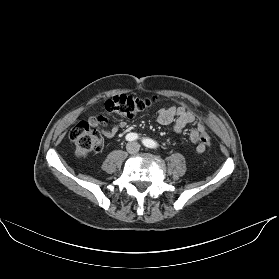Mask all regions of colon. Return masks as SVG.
Masks as SVG:
<instances>
[{
    "label": "colon",
    "instance_id": "obj_1",
    "mask_svg": "<svg viewBox=\"0 0 279 279\" xmlns=\"http://www.w3.org/2000/svg\"><path fill=\"white\" fill-rule=\"evenodd\" d=\"M156 102V97H138L127 94L115 95L105 101V108L111 113L122 117H134L145 111ZM101 125L108 123L107 118H98ZM70 140L74 145V154L77 158L83 159L92 153H97L103 148V138L100 132L88 121L77 123L69 133ZM206 147L210 145L209 136L202 138Z\"/></svg>",
    "mask_w": 279,
    "mask_h": 279
}]
</instances>
